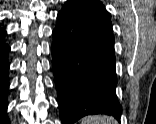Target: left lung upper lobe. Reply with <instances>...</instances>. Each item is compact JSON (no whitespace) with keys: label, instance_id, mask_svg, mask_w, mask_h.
<instances>
[{"label":"left lung upper lobe","instance_id":"obj_1","mask_svg":"<svg viewBox=\"0 0 156 124\" xmlns=\"http://www.w3.org/2000/svg\"><path fill=\"white\" fill-rule=\"evenodd\" d=\"M83 1L86 2L88 5H90L92 8L100 11L101 13L109 17L107 11L105 10L103 4L100 1L98 0H83Z\"/></svg>","mask_w":156,"mask_h":124}]
</instances>
